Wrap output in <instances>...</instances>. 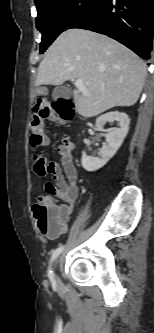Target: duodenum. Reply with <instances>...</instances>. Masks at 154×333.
Wrapping results in <instances>:
<instances>
[{"label":"duodenum","instance_id":"1","mask_svg":"<svg viewBox=\"0 0 154 333\" xmlns=\"http://www.w3.org/2000/svg\"><path fill=\"white\" fill-rule=\"evenodd\" d=\"M58 108L62 116L70 117L73 114V109L69 101L61 100L59 102Z\"/></svg>","mask_w":154,"mask_h":333}]
</instances>
